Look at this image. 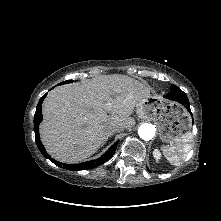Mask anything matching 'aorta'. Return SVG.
<instances>
[{"mask_svg":"<svg viewBox=\"0 0 221 221\" xmlns=\"http://www.w3.org/2000/svg\"><path fill=\"white\" fill-rule=\"evenodd\" d=\"M155 126L150 123H145L138 128V134L145 141L151 140L155 136Z\"/></svg>","mask_w":221,"mask_h":221,"instance_id":"aorta-1","label":"aorta"}]
</instances>
